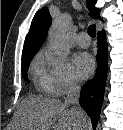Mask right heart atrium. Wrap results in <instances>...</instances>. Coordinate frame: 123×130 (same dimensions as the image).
<instances>
[{
	"label": "right heart atrium",
	"instance_id": "1",
	"mask_svg": "<svg viewBox=\"0 0 123 130\" xmlns=\"http://www.w3.org/2000/svg\"><path fill=\"white\" fill-rule=\"evenodd\" d=\"M42 73L47 82L49 93L62 96L76 90L79 82L64 56L56 55L46 49L40 53Z\"/></svg>",
	"mask_w": 123,
	"mask_h": 130
}]
</instances>
